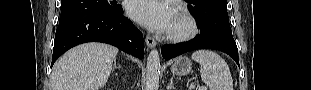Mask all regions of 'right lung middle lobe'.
<instances>
[{
	"mask_svg": "<svg viewBox=\"0 0 311 90\" xmlns=\"http://www.w3.org/2000/svg\"><path fill=\"white\" fill-rule=\"evenodd\" d=\"M119 9L116 2L106 0H61L60 23L90 14H111Z\"/></svg>",
	"mask_w": 311,
	"mask_h": 90,
	"instance_id": "1",
	"label": "right lung middle lobe"
}]
</instances>
